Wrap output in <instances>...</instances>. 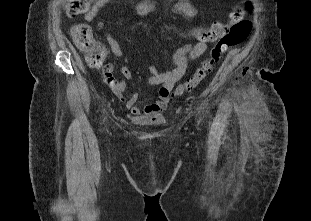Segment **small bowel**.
I'll return each mask as SVG.
<instances>
[{"mask_svg": "<svg viewBox=\"0 0 311 221\" xmlns=\"http://www.w3.org/2000/svg\"><path fill=\"white\" fill-rule=\"evenodd\" d=\"M111 2V0H96L90 9L85 13L84 18L87 22H92L101 9ZM137 13L142 17L150 15L155 6L150 0H145L137 5ZM175 11L187 18L196 16L197 9L188 0H180L175 5ZM96 27L98 30H105V23L102 21L97 22ZM201 28H196L192 31V35L197 36ZM106 41L111 52L118 58L123 56L122 49L118 41L109 33H106ZM103 54L104 48L100 46ZM207 49L206 43L198 41L194 44H186L180 47L173 56L175 67L170 71L160 72L155 65L148 67L149 77L148 83L151 85H159L158 97L155 101L145 105L141 108L138 104V93L134 92L129 98L124 97L125 82L119 81L118 85L112 90L114 93L125 102L130 113L139 119H155L167 107L170 93L174 84L185 74L189 63L205 53ZM121 75L124 79H130L132 72L127 66L121 67Z\"/></svg>", "mask_w": 311, "mask_h": 221, "instance_id": "c3829d8e", "label": "small bowel"}]
</instances>
